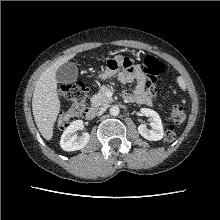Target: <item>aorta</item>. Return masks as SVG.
Masks as SVG:
<instances>
[{
  "label": "aorta",
  "mask_w": 220,
  "mask_h": 220,
  "mask_svg": "<svg viewBox=\"0 0 220 220\" xmlns=\"http://www.w3.org/2000/svg\"><path fill=\"white\" fill-rule=\"evenodd\" d=\"M109 112L112 116H117L120 113V109L118 106L115 105L110 108Z\"/></svg>",
  "instance_id": "obj_1"
}]
</instances>
